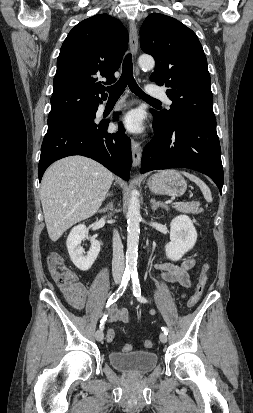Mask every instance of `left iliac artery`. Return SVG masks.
<instances>
[{
  "instance_id": "44dca946",
  "label": "left iliac artery",
  "mask_w": 253,
  "mask_h": 413,
  "mask_svg": "<svg viewBox=\"0 0 253 413\" xmlns=\"http://www.w3.org/2000/svg\"><path fill=\"white\" fill-rule=\"evenodd\" d=\"M132 287H133V294L134 296L140 301L141 303H147L146 298L141 295V288L138 279V274L136 272L132 273ZM162 331L164 334L168 335V329L166 327H162Z\"/></svg>"
}]
</instances>
